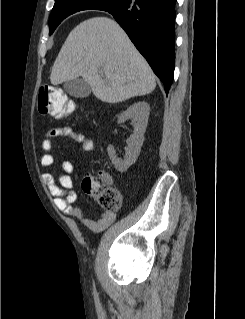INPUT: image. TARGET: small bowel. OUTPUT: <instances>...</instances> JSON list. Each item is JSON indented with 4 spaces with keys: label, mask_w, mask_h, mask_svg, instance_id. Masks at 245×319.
Segmentation results:
<instances>
[{
    "label": "small bowel",
    "mask_w": 245,
    "mask_h": 319,
    "mask_svg": "<svg viewBox=\"0 0 245 319\" xmlns=\"http://www.w3.org/2000/svg\"><path fill=\"white\" fill-rule=\"evenodd\" d=\"M56 137L72 139L81 145V148L85 153H91L95 149V142L93 139L87 137L83 133L74 131L71 127L52 128L45 133L41 145V165L43 167H51L54 164L53 139ZM74 171V164L69 160H64L61 164V171H59L56 176L52 173H44L42 179L54 196L55 204L59 210L69 216L78 218L93 232L102 231L114 221L115 214L104 212L98 220H93L86 215L84 209L77 203V195L71 177ZM106 182L108 184L112 183L108 174H106Z\"/></svg>",
    "instance_id": "1"
}]
</instances>
